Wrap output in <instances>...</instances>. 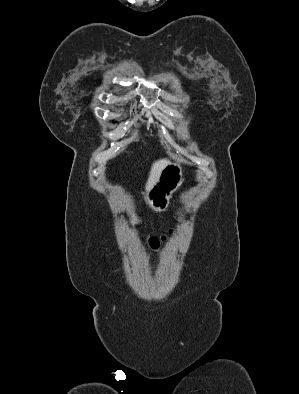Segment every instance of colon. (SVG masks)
Instances as JSON below:
<instances>
[{
  "instance_id": "5ec220e1",
  "label": "colon",
  "mask_w": 299,
  "mask_h": 394,
  "mask_svg": "<svg viewBox=\"0 0 299 394\" xmlns=\"http://www.w3.org/2000/svg\"><path fill=\"white\" fill-rule=\"evenodd\" d=\"M173 232V229L168 230L166 233L160 235H153L148 239V246L152 249H158L160 244L167 239Z\"/></svg>"
}]
</instances>
